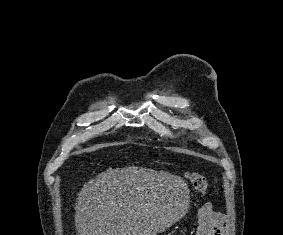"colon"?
<instances>
[{"instance_id": "colon-1", "label": "colon", "mask_w": 283, "mask_h": 235, "mask_svg": "<svg viewBox=\"0 0 283 235\" xmlns=\"http://www.w3.org/2000/svg\"><path fill=\"white\" fill-rule=\"evenodd\" d=\"M188 179L198 192H206L208 184L206 178L202 174L195 171H191L188 173Z\"/></svg>"}]
</instances>
